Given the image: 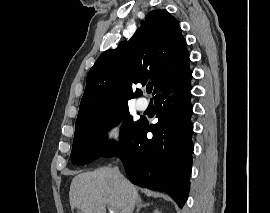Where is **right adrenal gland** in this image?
<instances>
[{
  "mask_svg": "<svg viewBox=\"0 0 270 213\" xmlns=\"http://www.w3.org/2000/svg\"><path fill=\"white\" fill-rule=\"evenodd\" d=\"M150 204L149 203H143L142 200H139L137 202V209H136V212L135 213H139V211L142 209V208H145L147 206H149Z\"/></svg>",
  "mask_w": 270,
  "mask_h": 213,
  "instance_id": "1",
  "label": "right adrenal gland"
}]
</instances>
